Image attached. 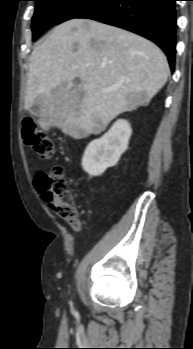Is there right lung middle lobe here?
I'll return each mask as SVG.
<instances>
[{
  "label": "right lung middle lobe",
  "instance_id": "obj_1",
  "mask_svg": "<svg viewBox=\"0 0 193 349\" xmlns=\"http://www.w3.org/2000/svg\"><path fill=\"white\" fill-rule=\"evenodd\" d=\"M33 41L52 26L76 18L98 0H34Z\"/></svg>",
  "mask_w": 193,
  "mask_h": 349
}]
</instances>
